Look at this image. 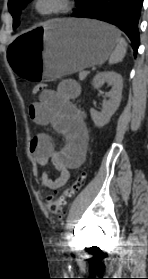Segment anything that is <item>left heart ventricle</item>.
Masks as SVG:
<instances>
[{
    "mask_svg": "<svg viewBox=\"0 0 148 279\" xmlns=\"http://www.w3.org/2000/svg\"><path fill=\"white\" fill-rule=\"evenodd\" d=\"M56 4L55 0H43L40 4L42 9H48Z\"/></svg>",
    "mask_w": 148,
    "mask_h": 279,
    "instance_id": "b2bd125f",
    "label": "left heart ventricle"
}]
</instances>
